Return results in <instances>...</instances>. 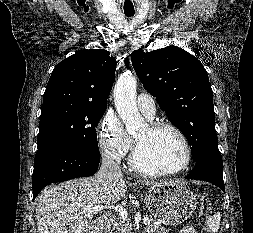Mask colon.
Segmentation results:
<instances>
[{"instance_id":"obj_1","label":"colon","mask_w":253,"mask_h":233,"mask_svg":"<svg viewBox=\"0 0 253 233\" xmlns=\"http://www.w3.org/2000/svg\"><path fill=\"white\" fill-rule=\"evenodd\" d=\"M210 203L203 199L201 202V211L199 215V224L202 228V233H212L210 228L207 226V220L209 216Z\"/></svg>"}]
</instances>
